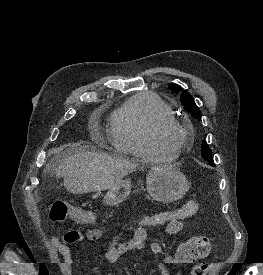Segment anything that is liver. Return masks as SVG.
<instances>
[{
  "label": "liver",
  "mask_w": 263,
  "mask_h": 275,
  "mask_svg": "<svg viewBox=\"0 0 263 275\" xmlns=\"http://www.w3.org/2000/svg\"><path fill=\"white\" fill-rule=\"evenodd\" d=\"M138 167L122 157L94 151L66 155L55 166L56 177H63L65 188L73 194L109 190ZM47 166L44 172H48Z\"/></svg>",
  "instance_id": "obj_1"
}]
</instances>
